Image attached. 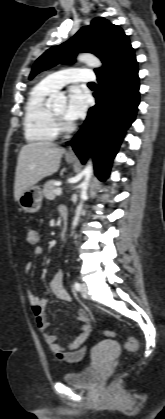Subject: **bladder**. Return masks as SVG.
Masks as SVG:
<instances>
[{
	"label": "bladder",
	"instance_id": "obj_1",
	"mask_svg": "<svg viewBox=\"0 0 165 419\" xmlns=\"http://www.w3.org/2000/svg\"><path fill=\"white\" fill-rule=\"evenodd\" d=\"M99 380V375L93 366H87L80 370L68 372L63 375V381L75 388H93Z\"/></svg>",
	"mask_w": 165,
	"mask_h": 419
}]
</instances>
